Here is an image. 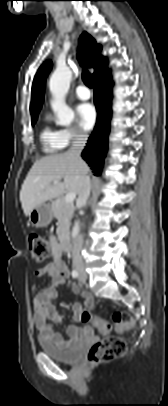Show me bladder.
Here are the masks:
<instances>
[{
	"label": "bladder",
	"mask_w": 168,
	"mask_h": 406,
	"mask_svg": "<svg viewBox=\"0 0 168 406\" xmlns=\"http://www.w3.org/2000/svg\"><path fill=\"white\" fill-rule=\"evenodd\" d=\"M38 343L46 355L62 363H74L78 361L84 350L83 344L58 346L49 342L42 335H39Z\"/></svg>",
	"instance_id": "bladder-1"
}]
</instances>
